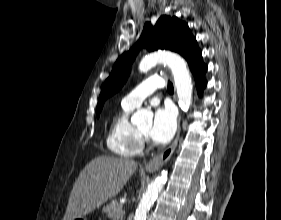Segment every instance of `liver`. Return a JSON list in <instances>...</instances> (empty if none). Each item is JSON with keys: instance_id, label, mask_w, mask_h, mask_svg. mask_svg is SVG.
<instances>
[{"instance_id": "6515ba94", "label": "liver", "mask_w": 281, "mask_h": 220, "mask_svg": "<svg viewBox=\"0 0 281 220\" xmlns=\"http://www.w3.org/2000/svg\"><path fill=\"white\" fill-rule=\"evenodd\" d=\"M136 169L130 159L104 155L92 159L73 185L63 220L82 218L118 195Z\"/></svg>"}]
</instances>
